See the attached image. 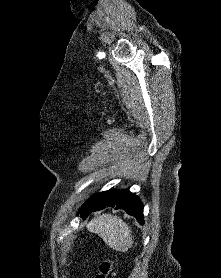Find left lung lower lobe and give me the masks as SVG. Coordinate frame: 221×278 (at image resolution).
Wrapping results in <instances>:
<instances>
[{
  "instance_id": "0a47b994",
  "label": "left lung lower lobe",
  "mask_w": 221,
  "mask_h": 278,
  "mask_svg": "<svg viewBox=\"0 0 221 278\" xmlns=\"http://www.w3.org/2000/svg\"><path fill=\"white\" fill-rule=\"evenodd\" d=\"M106 207L123 209L129 215L136 217L137 221L143 225V204L140 199L129 190H108L90 197L79 211L80 217L86 219L93 211H99Z\"/></svg>"
}]
</instances>
